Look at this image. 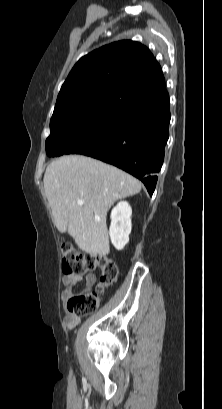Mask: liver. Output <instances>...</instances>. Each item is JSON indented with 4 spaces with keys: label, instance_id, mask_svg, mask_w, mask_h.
Segmentation results:
<instances>
[{
    "label": "liver",
    "instance_id": "1",
    "mask_svg": "<svg viewBox=\"0 0 222 409\" xmlns=\"http://www.w3.org/2000/svg\"><path fill=\"white\" fill-rule=\"evenodd\" d=\"M44 189L55 226L67 232L82 251L99 256L110 252L106 216L118 199L141 191L126 172L82 155L54 160L44 174ZM83 200L79 205L77 201Z\"/></svg>",
    "mask_w": 222,
    "mask_h": 409
}]
</instances>
